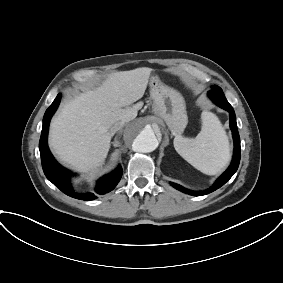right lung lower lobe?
I'll return each mask as SVG.
<instances>
[{"label": "right lung lower lobe", "mask_w": 283, "mask_h": 283, "mask_svg": "<svg viewBox=\"0 0 283 283\" xmlns=\"http://www.w3.org/2000/svg\"><path fill=\"white\" fill-rule=\"evenodd\" d=\"M61 99V94H58L56 99L46 110L43 117V127L41 132V137L39 141V150L41 155L42 168L47 179L52 182L56 187H58L63 193L76 199L81 200H93L96 196L93 193L87 194H76L70 184L68 170L59 165L54 157L52 156L48 145L47 136L49 123L52 115L56 111ZM122 176V169L119 167L114 172L104 176L98 182L96 192L98 194H105L115 188Z\"/></svg>", "instance_id": "98d812e1"}]
</instances>
